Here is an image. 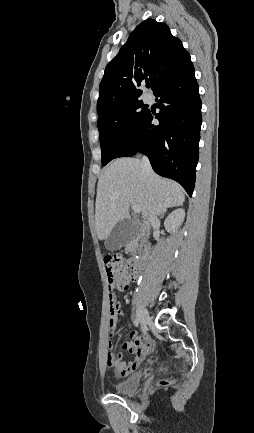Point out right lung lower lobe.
I'll return each mask as SVG.
<instances>
[{"label":"right lung lower lobe","mask_w":254,"mask_h":433,"mask_svg":"<svg viewBox=\"0 0 254 433\" xmlns=\"http://www.w3.org/2000/svg\"><path fill=\"white\" fill-rule=\"evenodd\" d=\"M160 112L150 110L114 158L145 154L153 170L180 183L189 196L199 156L201 100L188 58L154 93ZM159 120L155 125L153 119Z\"/></svg>","instance_id":"1"}]
</instances>
